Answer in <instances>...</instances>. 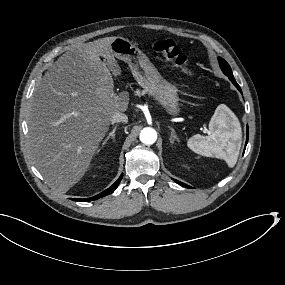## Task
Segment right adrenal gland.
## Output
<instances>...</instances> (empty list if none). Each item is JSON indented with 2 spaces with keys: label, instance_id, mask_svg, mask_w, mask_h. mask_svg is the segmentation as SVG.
<instances>
[{
  "label": "right adrenal gland",
  "instance_id": "right-adrenal-gland-1",
  "mask_svg": "<svg viewBox=\"0 0 285 285\" xmlns=\"http://www.w3.org/2000/svg\"><path fill=\"white\" fill-rule=\"evenodd\" d=\"M117 130V125L113 128V130L108 134V136L104 139L101 145V149L106 145L107 141L111 138L113 142H115V132Z\"/></svg>",
  "mask_w": 285,
  "mask_h": 285
}]
</instances>
